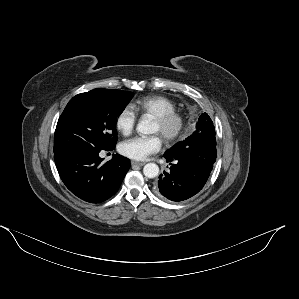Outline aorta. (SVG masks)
<instances>
[{
  "label": "aorta",
  "mask_w": 299,
  "mask_h": 299,
  "mask_svg": "<svg viewBox=\"0 0 299 299\" xmlns=\"http://www.w3.org/2000/svg\"><path fill=\"white\" fill-rule=\"evenodd\" d=\"M136 129L142 135H149L156 132L155 125L148 119L140 120ZM143 173L147 178H155L159 174V167L155 163H148L144 166Z\"/></svg>",
  "instance_id": "1"
}]
</instances>
